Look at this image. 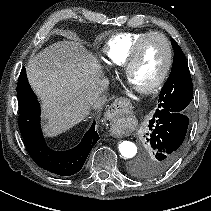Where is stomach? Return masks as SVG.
I'll use <instances>...</instances> for the list:
<instances>
[{
	"instance_id": "stomach-1",
	"label": "stomach",
	"mask_w": 211,
	"mask_h": 211,
	"mask_svg": "<svg viewBox=\"0 0 211 211\" xmlns=\"http://www.w3.org/2000/svg\"><path fill=\"white\" fill-rule=\"evenodd\" d=\"M127 110H128L127 106L122 105V106H120L118 112H120V113H126Z\"/></svg>"
}]
</instances>
